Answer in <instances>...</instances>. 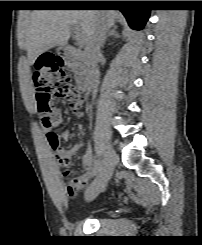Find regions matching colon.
<instances>
[{
	"label": "colon",
	"mask_w": 202,
	"mask_h": 245,
	"mask_svg": "<svg viewBox=\"0 0 202 245\" xmlns=\"http://www.w3.org/2000/svg\"><path fill=\"white\" fill-rule=\"evenodd\" d=\"M33 81L37 112L45 126L52 124L51 111L54 97L64 99L70 112L76 113L80 110L82 106L80 95L75 87L68 82L64 64L56 55L47 54L36 62ZM48 142L54 152L62 150L56 133L50 134Z\"/></svg>",
	"instance_id": "colon-1"
}]
</instances>
